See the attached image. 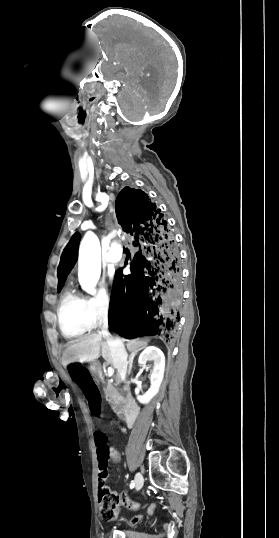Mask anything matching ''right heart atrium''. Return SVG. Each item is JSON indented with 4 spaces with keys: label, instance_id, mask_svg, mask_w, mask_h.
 I'll return each mask as SVG.
<instances>
[{
    "label": "right heart atrium",
    "instance_id": "right-heart-atrium-1",
    "mask_svg": "<svg viewBox=\"0 0 279 538\" xmlns=\"http://www.w3.org/2000/svg\"><path fill=\"white\" fill-rule=\"evenodd\" d=\"M114 302L111 294L102 289L88 298V316L92 327L107 321L113 314Z\"/></svg>",
    "mask_w": 279,
    "mask_h": 538
}]
</instances>
